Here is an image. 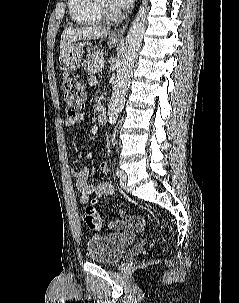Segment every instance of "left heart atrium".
<instances>
[{
  "mask_svg": "<svg viewBox=\"0 0 239 303\" xmlns=\"http://www.w3.org/2000/svg\"><path fill=\"white\" fill-rule=\"evenodd\" d=\"M133 0H112L115 7L119 9L127 8Z\"/></svg>",
  "mask_w": 239,
  "mask_h": 303,
  "instance_id": "39dd6f15",
  "label": "left heart atrium"
}]
</instances>
